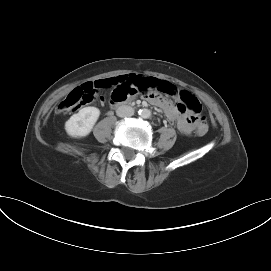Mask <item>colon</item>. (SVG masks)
Masks as SVG:
<instances>
[{
    "instance_id": "colon-1",
    "label": "colon",
    "mask_w": 271,
    "mask_h": 271,
    "mask_svg": "<svg viewBox=\"0 0 271 271\" xmlns=\"http://www.w3.org/2000/svg\"><path fill=\"white\" fill-rule=\"evenodd\" d=\"M96 93V90L91 87L75 88L59 103L57 111L60 113L74 111L92 102L96 97ZM179 96L181 102L178 103V109L183 113L189 112L195 122L196 133L200 136L205 135L208 132L209 126L206 117L200 114L201 106L199 101L186 91H182Z\"/></svg>"
}]
</instances>
